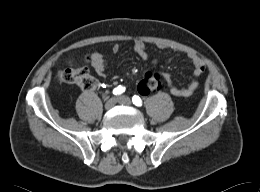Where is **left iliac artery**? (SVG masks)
Wrapping results in <instances>:
<instances>
[{
    "mask_svg": "<svg viewBox=\"0 0 260 192\" xmlns=\"http://www.w3.org/2000/svg\"><path fill=\"white\" fill-rule=\"evenodd\" d=\"M132 101L136 106H142V100L139 96H133Z\"/></svg>",
    "mask_w": 260,
    "mask_h": 192,
    "instance_id": "44dca946",
    "label": "left iliac artery"
}]
</instances>
